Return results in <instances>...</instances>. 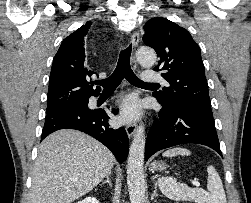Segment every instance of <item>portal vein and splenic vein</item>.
Returning a JSON list of instances; mask_svg holds the SVG:
<instances>
[{
  "mask_svg": "<svg viewBox=\"0 0 251 203\" xmlns=\"http://www.w3.org/2000/svg\"><path fill=\"white\" fill-rule=\"evenodd\" d=\"M192 184H193L195 187H199V186H200V183L197 182V181L192 182Z\"/></svg>",
  "mask_w": 251,
  "mask_h": 203,
  "instance_id": "18ae733b",
  "label": "portal vein and splenic vein"
}]
</instances>
